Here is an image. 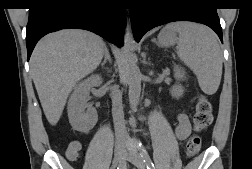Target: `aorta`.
Wrapping results in <instances>:
<instances>
[{
  "mask_svg": "<svg viewBox=\"0 0 252 169\" xmlns=\"http://www.w3.org/2000/svg\"><path fill=\"white\" fill-rule=\"evenodd\" d=\"M135 48V42L130 33L126 35L123 57L125 59L124 69L127 75V84L129 87V105L130 113H135L139 104L141 94V73L140 70L132 65V59L134 57L133 50Z\"/></svg>",
  "mask_w": 252,
  "mask_h": 169,
  "instance_id": "aorta-1",
  "label": "aorta"
}]
</instances>
